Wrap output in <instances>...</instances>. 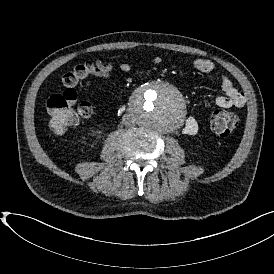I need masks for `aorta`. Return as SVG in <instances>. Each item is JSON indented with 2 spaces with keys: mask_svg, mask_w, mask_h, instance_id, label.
Wrapping results in <instances>:
<instances>
[{
  "mask_svg": "<svg viewBox=\"0 0 274 274\" xmlns=\"http://www.w3.org/2000/svg\"><path fill=\"white\" fill-rule=\"evenodd\" d=\"M130 113L136 124L168 133L182 124L186 109L182 94L174 86L153 81L132 96Z\"/></svg>",
  "mask_w": 274,
  "mask_h": 274,
  "instance_id": "obj_1",
  "label": "aorta"
}]
</instances>
